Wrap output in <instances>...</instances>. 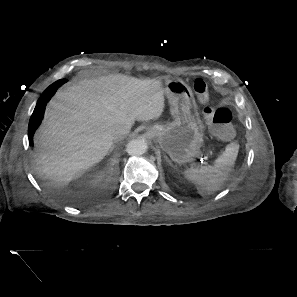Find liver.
I'll list each match as a JSON object with an SVG mask.
<instances>
[{
  "instance_id": "liver-1",
  "label": "liver",
  "mask_w": 297,
  "mask_h": 297,
  "mask_svg": "<svg viewBox=\"0 0 297 297\" xmlns=\"http://www.w3.org/2000/svg\"><path fill=\"white\" fill-rule=\"evenodd\" d=\"M162 82L123 74L83 79L46 107L34 137L35 170L60 191L99 163L117 140L113 128L149 121L164 110ZM69 193V192H68Z\"/></svg>"
}]
</instances>
